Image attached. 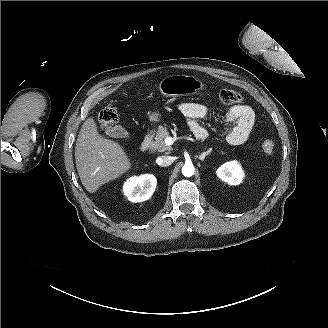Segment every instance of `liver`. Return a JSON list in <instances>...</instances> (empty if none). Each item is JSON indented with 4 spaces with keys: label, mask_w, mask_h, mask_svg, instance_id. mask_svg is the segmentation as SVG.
<instances>
[{
    "label": "liver",
    "mask_w": 328,
    "mask_h": 328,
    "mask_svg": "<svg viewBox=\"0 0 328 328\" xmlns=\"http://www.w3.org/2000/svg\"><path fill=\"white\" fill-rule=\"evenodd\" d=\"M76 167L80 180L89 193L118 178L131 168L123 148L97 131L93 118L82 125L75 147Z\"/></svg>",
    "instance_id": "liver-1"
}]
</instances>
